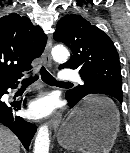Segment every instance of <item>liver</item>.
I'll return each instance as SVG.
<instances>
[{"label": "liver", "mask_w": 130, "mask_h": 153, "mask_svg": "<svg viewBox=\"0 0 130 153\" xmlns=\"http://www.w3.org/2000/svg\"><path fill=\"white\" fill-rule=\"evenodd\" d=\"M18 138L6 127L0 125V153H19Z\"/></svg>", "instance_id": "1"}]
</instances>
